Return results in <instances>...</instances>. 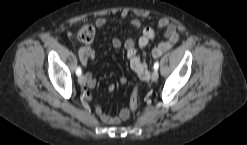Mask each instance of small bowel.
<instances>
[{
	"instance_id": "c3829d8e",
	"label": "small bowel",
	"mask_w": 247,
	"mask_h": 145,
	"mask_svg": "<svg viewBox=\"0 0 247 145\" xmlns=\"http://www.w3.org/2000/svg\"><path fill=\"white\" fill-rule=\"evenodd\" d=\"M126 14H123L125 16ZM107 24V20L104 17H98L94 21V25L96 28L101 29ZM130 26L140 29L142 27V23L139 19L133 18L129 21ZM163 30L165 40L159 42L156 46H154L152 50L153 57L157 58L161 56L165 51L172 48L179 40L178 27L176 23L171 21L168 18H161L156 28L152 27H144L142 30V35L139 40L136 42L133 39H127L122 42L119 38H114L112 40V46L115 49H120L121 47L125 48L126 57L129 60L131 70L135 73V75L143 81H148L150 78V71L148 69V63L145 57H140L138 54V50H144L150 41H152L156 32ZM80 61L83 66H87L89 61L94 60L95 51L90 44H84L79 50ZM86 83L82 88V93L85 98L91 99L92 96L89 92V89L94 88L96 85V79L92 73L88 72L85 75ZM120 82L122 84L126 83V78L121 77ZM109 91H114L115 86L112 84L108 87ZM95 113L100 118V120L108 125H116L120 123L122 120H125L127 117V110L124 109L121 111L119 116H111L105 114L100 104L95 105Z\"/></svg>"
}]
</instances>
